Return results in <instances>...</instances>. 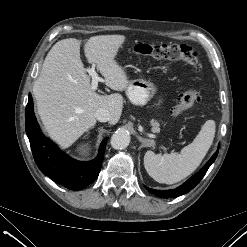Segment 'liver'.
Wrapping results in <instances>:
<instances>
[{"label":"liver","instance_id":"liver-1","mask_svg":"<svg viewBox=\"0 0 247 247\" xmlns=\"http://www.w3.org/2000/svg\"><path fill=\"white\" fill-rule=\"evenodd\" d=\"M124 35L90 37L84 44L88 63L97 67L105 84L124 91L128 76L115 57L125 42ZM81 41L68 38L58 41L47 54L33 94L38 113L49 136L62 148L71 146L96 123L95 112L111 113L110 124L122 114L123 97L119 93L100 95L91 88L90 77L80 58Z\"/></svg>","mask_w":247,"mask_h":247}]
</instances>
